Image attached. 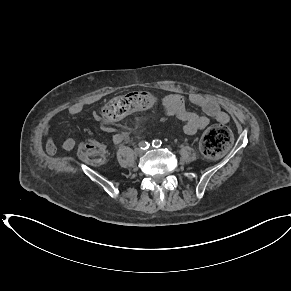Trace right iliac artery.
<instances>
[{
	"label": "right iliac artery",
	"instance_id": "obj_1",
	"mask_svg": "<svg viewBox=\"0 0 291 291\" xmlns=\"http://www.w3.org/2000/svg\"><path fill=\"white\" fill-rule=\"evenodd\" d=\"M149 143L148 142H146V141H141L140 143H139V147L142 149V150H146V149H148L149 148Z\"/></svg>",
	"mask_w": 291,
	"mask_h": 291
}]
</instances>
